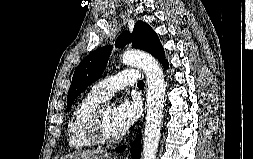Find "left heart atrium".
Returning <instances> with one entry per match:
<instances>
[{
  "label": "left heart atrium",
  "instance_id": "39dd6f15",
  "mask_svg": "<svg viewBox=\"0 0 253 159\" xmlns=\"http://www.w3.org/2000/svg\"><path fill=\"white\" fill-rule=\"evenodd\" d=\"M140 106L136 100L123 99L114 108V119L120 134L126 133L137 121Z\"/></svg>",
  "mask_w": 253,
  "mask_h": 159
}]
</instances>
